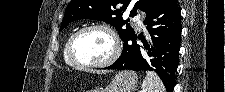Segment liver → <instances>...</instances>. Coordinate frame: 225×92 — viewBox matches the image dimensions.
I'll return each mask as SVG.
<instances>
[{"instance_id": "obj_1", "label": "liver", "mask_w": 225, "mask_h": 92, "mask_svg": "<svg viewBox=\"0 0 225 92\" xmlns=\"http://www.w3.org/2000/svg\"><path fill=\"white\" fill-rule=\"evenodd\" d=\"M91 73H96V74H105L107 71H90Z\"/></svg>"}]
</instances>
